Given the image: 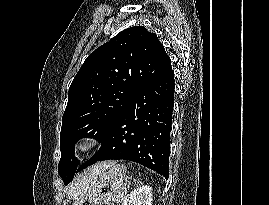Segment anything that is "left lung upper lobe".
I'll use <instances>...</instances> for the list:
<instances>
[{
  "label": "left lung upper lobe",
  "instance_id": "5c2ea615",
  "mask_svg": "<svg viewBox=\"0 0 269 205\" xmlns=\"http://www.w3.org/2000/svg\"><path fill=\"white\" fill-rule=\"evenodd\" d=\"M168 59L157 35L143 26L121 31L86 58L71 83L62 117L59 175L65 185L78 169L76 142L83 137L102 140Z\"/></svg>",
  "mask_w": 269,
  "mask_h": 205
}]
</instances>
